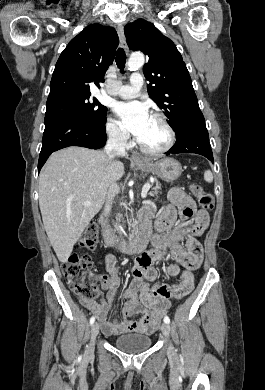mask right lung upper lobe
Wrapping results in <instances>:
<instances>
[{
    "instance_id": "obj_1",
    "label": "right lung upper lobe",
    "mask_w": 265,
    "mask_h": 390,
    "mask_svg": "<svg viewBox=\"0 0 265 390\" xmlns=\"http://www.w3.org/2000/svg\"><path fill=\"white\" fill-rule=\"evenodd\" d=\"M119 44L112 27L92 24L75 36L61 53L50 83L48 99L70 94H91L99 87Z\"/></svg>"
}]
</instances>
